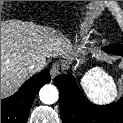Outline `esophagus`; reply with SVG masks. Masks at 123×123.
Masks as SVG:
<instances>
[{
	"label": "esophagus",
	"instance_id": "esophagus-1",
	"mask_svg": "<svg viewBox=\"0 0 123 123\" xmlns=\"http://www.w3.org/2000/svg\"><path fill=\"white\" fill-rule=\"evenodd\" d=\"M60 66L58 64H53L51 69H50V74L52 78H55L57 75L60 74Z\"/></svg>",
	"mask_w": 123,
	"mask_h": 123
}]
</instances>
